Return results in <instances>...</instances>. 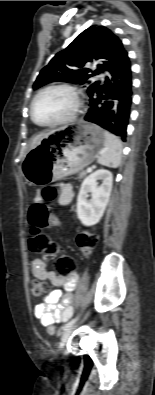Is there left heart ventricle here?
Returning a JSON list of instances; mask_svg holds the SVG:
<instances>
[{"label":"left heart ventricle","mask_w":155,"mask_h":395,"mask_svg":"<svg viewBox=\"0 0 155 395\" xmlns=\"http://www.w3.org/2000/svg\"><path fill=\"white\" fill-rule=\"evenodd\" d=\"M74 99L65 90H51L42 94L34 105V117L38 123L47 124L65 117L72 109Z\"/></svg>","instance_id":"left-heart-ventricle-1"}]
</instances>
